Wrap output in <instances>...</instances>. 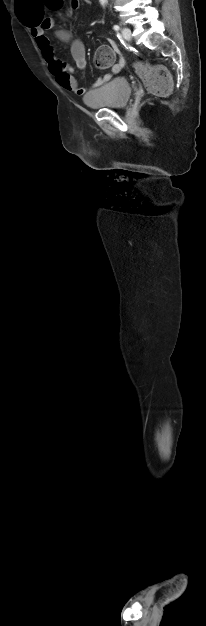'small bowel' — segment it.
Returning a JSON list of instances; mask_svg holds the SVG:
<instances>
[{"instance_id":"small-bowel-1","label":"small bowel","mask_w":206,"mask_h":626,"mask_svg":"<svg viewBox=\"0 0 206 626\" xmlns=\"http://www.w3.org/2000/svg\"><path fill=\"white\" fill-rule=\"evenodd\" d=\"M80 3L79 0H71V9H77ZM33 21V24L28 25L31 29V34L48 65L50 72L54 75L58 84L67 91H70L77 95H83L87 92L86 88L80 87L77 80L72 75L73 69L64 61L58 59L55 56L54 47L48 37V32L53 29V19L49 17H43L39 14H35L29 18ZM55 35L63 42L70 43L71 54L78 69L84 70L87 65L85 47L82 41L76 38L68 30H57ZM111 48L117 51V47L114 43L111 44ZM124 64L123 59L113 66L111 73L101 76L92 86V88L99 87L106 83L113 74L120 71Z\"/></svg>"}]
</instances>
